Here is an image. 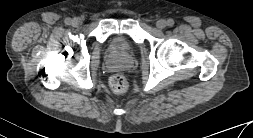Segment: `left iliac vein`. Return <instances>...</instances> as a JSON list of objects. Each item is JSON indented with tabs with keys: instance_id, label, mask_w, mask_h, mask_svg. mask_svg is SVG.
<instances>
[{
	"instance_id": "4c4485c4",
	"label": "left iliac vein",
	"mask_w": 253,
	"mask_h": 138,
	"mask_svg": "<svg viewBox=\"0 0 253 138\" xmlns=\"http://www.w3.org/2000/svg\"><path fill=\"white\" fill-rule=\"evenodd\" d=\"M156 26H157L158 29L162 30L167 26V22L164 19H159L156 22Z\"/></svg>"
}]
</instances>
